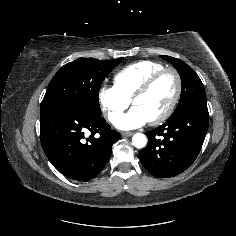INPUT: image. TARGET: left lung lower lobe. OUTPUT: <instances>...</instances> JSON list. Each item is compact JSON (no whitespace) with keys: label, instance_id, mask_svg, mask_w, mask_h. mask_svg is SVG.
Here are the masks:
<instances>
[{"label":"left lung lower lobe","instance_id":"0a47b994","mask_svg":"<svg viewBox=\"0 0 236 236\" xmlns=\"http://www.w3.org/2000/svg\"><path fill=\"white\" fill-rule=\"evenodd\" d=\"M209 124L207 103L189 106L163 125L146 132L147 146L139 153L154 176L169 178L186 170L198 156Z\"/></svg>","mask_w":236,"mask_h":236}]
</instances>
